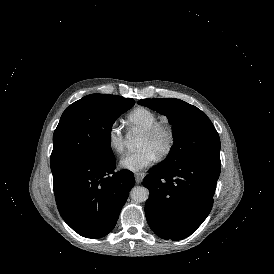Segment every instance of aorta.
Wrapping results in <instances>:
<instances>
[{"label": "aorta", "mask_w": 274, "mask_h": 274, "mask_svg": "<svg viewBox=\"0 0 274 274\" xmlns=\"http://www.w3.org/2000/svg\"><path fill=\"white\" fill-rule=\"evenodd\" d=\"M136 142L137 137L135 135H130L127 140L128 148H133L136 145ZM130 196L134 202H145L149 197V190L143 186H135L131 190Z\"/></svg>", "instance_id": "obj_1"}]
</instances>
